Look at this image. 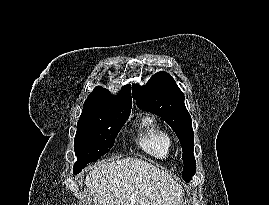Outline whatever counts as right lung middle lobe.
Wrapping results in <instances>:
<instances>
[{
  "instance_id": "obj_1",
  "label": "right lung middle lobe",
  "mask_w": 269,
  "mask_h": 205,
  "mask_svg": "<svg viewBox=\"0 0 269 205\" xmlns=\"http://www.w3.org/2000/svg\"><path fill=\"white\" fill-rule=\"evenodd\" d=\"M128 117L80 116L74 139L77 156L73 167L74 174L82 171L89 162L101 158L113 147L115 138Z\"/></svg>"
}]
</instances>
